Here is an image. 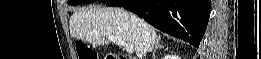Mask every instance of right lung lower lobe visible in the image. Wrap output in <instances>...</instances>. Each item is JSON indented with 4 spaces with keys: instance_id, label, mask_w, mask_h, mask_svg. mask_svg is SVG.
Here are the masks:
<instances>
[{
    "instance_id": "98d812e1",
    "label": "right lung lower lobe",
    "mask_w": 261,
    "mask_h": 59,
    "mask_svg": "<svg viewBox=\"0 0 261 59\" xmlns=\"http://www.w3.org/2000/svg\"><path fill=\"white\" fill-rule=\"evenodd\" d=\"M142 17L155 28L198 47L205 33L210 0H107Z\"/></svg>"
}]
</instances>
